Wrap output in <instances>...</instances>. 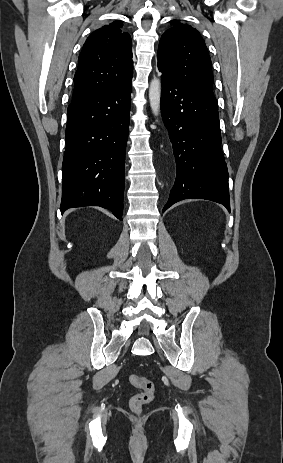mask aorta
Instances as JSON below:
<instances>
[{"label": "aorta", "mask_w": 283, "mask_h": 463, "mask_svg": "<svg viewBox=\"0 0 283 463\" xmlns=\"http://www.w3.org/2000/svg\"><path fill=\"white\" fill-rule=\"evenodd\" d=\"M160 97H161V81L154 77L151 80L149 87V102L150 107L155 116L160 112Z\"/></svg>", "instance_id": "obj_1"}]
</instances>
